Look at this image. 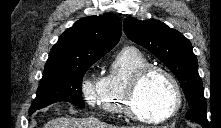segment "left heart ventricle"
<instances>
[{
	"label": "left heart ventricle",
	"mask_w": 221,
	"mask_h": 128,
	"mask_svg": "<svg viewBox=\"0 0 221 128\" xmlns=\"http://www.w3.org/2000/svg\"><path fill=\"white\" fill-rule=\"evenodd\" d=\"M173 103V92L168 79L160 72L153 73L142 83L136 98L140 112L156 117L164 114Z\"/></svg>",
	"instance_id": "1"
}]
</instances>
